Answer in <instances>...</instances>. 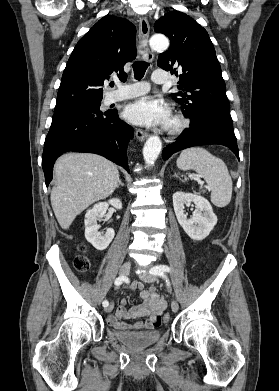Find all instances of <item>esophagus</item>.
I'll return each mask as SVG.
<instances>
[{
	"label": "esophagus",
	"instance_id": "obj_1",
	"mask_svg": "<svg viewBox=\"0 0 279 391\" xmlns=\"http://www.w3.org/2000/svg\"><path fill=\"white\" fill-rule=\"evenodd\" d=\"M149 31H150V26L148 23V20L145 16H142L139 18V32H140V37H141V43L145 47V50L143 52L144 59L145 61H152L154 56L152 52L147 48V40L149 37ZM136 137L139 141H144L148 137V133L141 130V129H136Z\"/></svg>",
	"mask_w": 279,
	"mask_h": 391
}]
</instances>
